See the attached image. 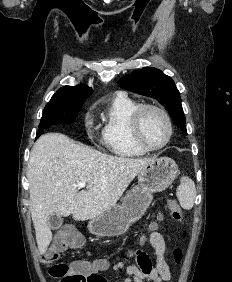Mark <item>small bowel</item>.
Wrapping results in <instances>:
<instances>
[{
  "mask_svg": "<svg viewBox=\"0 0 232 282\" xmlns=\"http://www.w3.org/2000/svg\"><path fill=\"white\" fill-rule=\"evenodd\" d=\"M150 244L156 256V264L153 265L149 256L140 252L136 264H126L122 261L108 263L98 261L95 263L97 270H106L111 267L116 272H124L126 277L122 282H168L171 279L169 265L165 260L166 244L163 236L157 230H153L149 236ZM90 282H108L103 276L98 275Z\"/></svg>",
  "mask_w": 232,
  "mask_h": 282,
  "instance_id": "obj_1",
  "label": "small bowel"
}]
</instances>
